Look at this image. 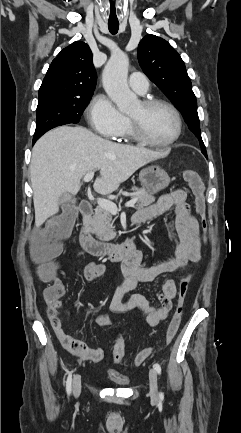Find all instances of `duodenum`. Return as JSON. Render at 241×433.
Instances as JSON below:
<instances>
[{
  "instance_id": "410a0bca",
  "label": "duodenum",
  "mask_w": 241,
  "mask_h": 433,
  "mask_svg": "<svg viewBox=\"0 0 241 433\" xmlns=\"http://www.w3.org/2000/svg\"><path fill=\"white\" fill-rule=\"evenodd\" d=\"M82 216V227L80 232V243L82 248L93 256L105 257L110 261L128 260L137 253L136 241L134 237H128L125 241L117 244L98 241L90 229L91 216L94 212L93 204L84 200L80 204ZM143 222L140 216L133 218V225H139Z\"/></svg>"
}]
</instances>
